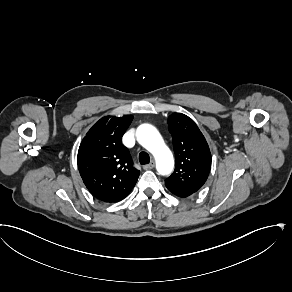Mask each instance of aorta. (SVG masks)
Segmentation results:
<instances>
[{
	"label": "aorta",
	"instance_id": "aorta-1",
	"mask_svg": "<svg viewBox=\"0 0 292 292\" xmlns=\"http://www.w3.org/2000/svg\"><path fill=\"white\" fill-rule=\"evenodd\" d=\"M136 136L139 143L153 154L158 173L169 175L174 169L173 155L157 129L150 124H142L137 128Z\"/></svg>",
	"mask_w": 292,
	"mask_h": 292
}]
</instances>
